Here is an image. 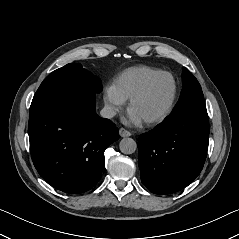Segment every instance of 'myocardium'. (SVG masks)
<instances>
[{
    "mask_svg": "<svg viewBox=\"0 0 239 239\" xmlns=\"http://www.w3.org/2000/svg\"><path fill=\"white\" fill-rule=\"evenodd\" d=\"M162 76H166V77L170 78L172 85H173L172 95H171V98H170L168 104L160 113H158L152 117H149L147 119H144V122L147 124H153V123H157V122L164 120L172 111L173 106L176 101L177 92H178L177 82H176L175 78L173 77V75L166 71L157 72L156 74L151 76L149 79H147L144 82V84L129 98L128 105H129V108H131V106L146 93V91L149 89V87L152 85V83Z\"/></svg>",
    "mask_w": 239,
    "mask_h": 239,
    "instance_id": "obj_1",
    "label": "myocardium"
}]
</instances>
